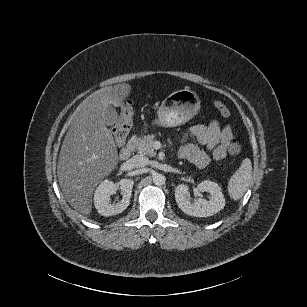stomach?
I'll list each match as a JSON object with an SVG mask.
<instances>
[{
	"instance_id": "1",
	"label": "stomach",
	"mask_w": 307,
	"mask_h": 307,
	"mask_svg": "<svg viewBox=\"0 0 307 307\" xmlns=\"http://www.w3.org/2000/svg\"><path fill=\"white\" fill-rule=\"evenodd\" d=\"M198 95L189 89L171 93L157 110V119L152 125L159 127H176L192 119L201 108Z\"/></svg>"
}]
</instances>
